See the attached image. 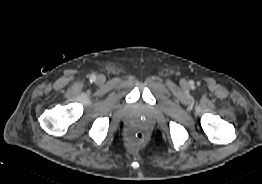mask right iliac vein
I'll use <instances>...</instances> for the list:
<instances>
[{
	"label": "right iliac vein",
	"mask_w": 262,
	"mask_h": 184,
	"mask_svg": "<svg viewBox=\"0 0 262 184\" xmlns=\"http://www.w3.org/2000/svg\"><path fill=\"white\" fill-rule=\"evenodd\" d=\"M104 80H105V78H104L103 75H99V76L97 77V82H99V83H103Z\"/></svg>",
	"instance_id": "1"
}]
</instances>
